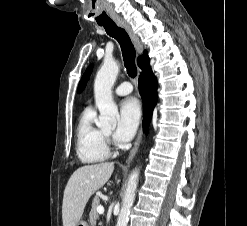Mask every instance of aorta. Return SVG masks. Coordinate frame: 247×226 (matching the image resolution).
Returning a JSON list of instances; mask_svg holds the SVG:
<instances>
[{"mask_svg": "<svg viewBox=\"0 0 247 226\" xmlns=\"http://www.w3.org/2000/svg\"><path fill=\"white\" fill-rule=\"evenodd\" d=\"M119 73V66L115 61L106 60L98 71L94 82L95 103L100 116L97 126L100 128L111 127L116 124L118 108L112 97V87ZM139 169H135L128 180L122 201V207L116 226H127L131 207L135 199Z\"/></svg>", "mask_w": 247, "mask_h": 226, "instance_id": "aorta-1", "label": "aorta"}]
</instances>
